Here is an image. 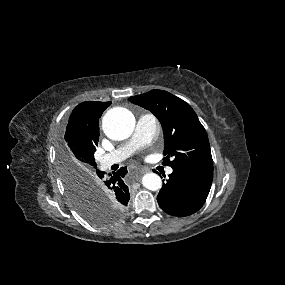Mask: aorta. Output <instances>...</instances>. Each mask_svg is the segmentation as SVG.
<instances>
[{
	"instance_id": "obj_1",
	"label": "aorta",
	"mask_w": 285,
	"mask_h": 285,
	"mask_svg": "<svg viewBox=\"0 0 285 285\" xmlns=\"http://www.w3.org/2000/svg\"><path fill=\"white\" fill-rule=\"evenodd\" d=\"M135 119L126 108L116 107L109 110L102 121V128L106 136L114 140L128 138L134 130ZM143 186L151 191H157L162 187V180L155 173H147L142 177Z\"/></svg>"
}]
</instances>
